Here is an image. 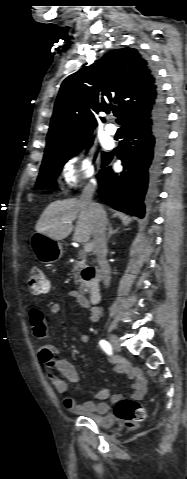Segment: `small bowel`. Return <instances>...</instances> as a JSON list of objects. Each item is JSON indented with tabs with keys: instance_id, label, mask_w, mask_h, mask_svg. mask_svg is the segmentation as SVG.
I'll return each mask as SVG.
<instances>
[{
	"instance_id": "obj_1",
	"label": "small bowel",
	"mask_w": 187,
	"mask_h": 479,
	"mask_svg": "<svg viewBox=\"0 0 187 479\" xmlns=\"http://www.w3.org/2000/svg\"><path fill=\"white\" fill-rule=\"evenodd\" d=\"M68 296L75 300V302L88 311L90 322L94 323L100 318V311L94 305L91 304L89 299L79 291H70ZM62 311V305L60 303H54L50 306L47 314H44L39 308L34 307L29 312V321L32 328L33 335L40 338L47 329L45 318L47 316H55ZM89 339L87 333H83L80 336L82 342H86ZM57 348L53 345L43 346L39 349L38 360L44 366L46 375L52 383L54 389L62 394L63 405L69 411L74 412H86L103 415L108 412L109 405L105 400L109 397V391L107 388L99 390L95 396L96 401L86 400L77 401L75 398L67 395L68 384H76L79 381V376L76 368L65 359L57 358ZM115 370L118 374L129 377L132 380L133 397L141 400L144 398L147 387L146 380L142 371L138 368H133L124 361H119ZM54 371H57V375ZM116 399V397H114Z\"/></svg>"
}]
</instances>
